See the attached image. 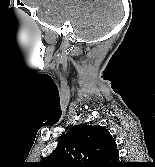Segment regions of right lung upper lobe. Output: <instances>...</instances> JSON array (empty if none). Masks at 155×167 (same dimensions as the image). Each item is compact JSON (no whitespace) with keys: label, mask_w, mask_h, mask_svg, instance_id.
Returning <instances> with one entry per match:
<instances>
[{"label":"right lung upper lobe","mask_w":155,"mask_h":167,"mask_svg":"<svg viewBox=\"0 0 155 167\" xmlns=\"http://www.w3.org/2000/svg\"><path fill=\"white\" fill-rule=\"evenodd\" d=\"M117 145L102 126L77 125L62 137L56 149L41 161L43 167H115Z\"/></svg>","instance_id":"right-lung-upper-lobe-1"}]
</instances>
